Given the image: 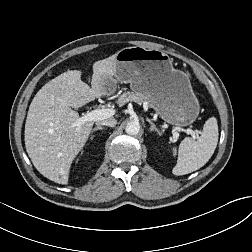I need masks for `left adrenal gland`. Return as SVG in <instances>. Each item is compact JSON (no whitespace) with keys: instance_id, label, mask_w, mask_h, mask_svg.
<instances>
[{"instance_id":"a2214340","label":"left adrenal gland","mask_w":252,"mask_h":252,"mask_svg":"<svg viewBox=\"0 0 252 252\" xmlns=\"http://www.w3.org/2000/svg\"><path fill=\"white\" fill-rule=\"evenodd\" d=\"M148 122H149V124L151 125V127H150V130L151 131H155V132H157L159 135H161L162 133L160 132V130L156 127V125L149 119V118H147L146 119Z\"/></svg>"}]
</instances>
